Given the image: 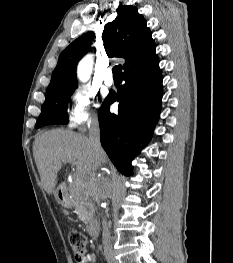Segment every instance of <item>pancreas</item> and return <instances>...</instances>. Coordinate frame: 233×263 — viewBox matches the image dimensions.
Masks as SVG:
<instances>
[{
	"instance_id": "pancreas-1",
	"label": "pancreas",
	"mask_w": 233,
	"mask_h": 263,
	"mask_svg": "<svg viewBox=\"0 0 233 263\" xmlns=\"http://www.w3.org/2000/svg\"><path fill=\"white\" fill-rule=\"evenodd\" d=\"M70 194L78 218L86 225L92 224L94 222L93 203L88 200V197L82 192L79 186L71 189Z\"/></svg>"
}]
</instances>
